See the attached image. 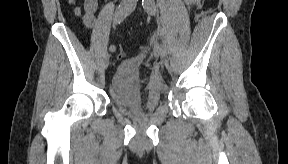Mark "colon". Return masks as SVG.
<instances>
[{"instance_id":"5ec220e1","label":"colon","mask_w":288,"mask_h":164,"mask_svg":"<svg viewBox=\"0 0 288 164\" xmlns=\"http://www.w3.org/2000/svg\"><path fill=\"white\" fill-rule=\"evenodd\" d=\"M93 16H94V10L89 6H85L84 17H93ZM125 57H126V52H124V50L120 48L119 53H118V58L124 59Z\"/></svg>"}]
</instances>
